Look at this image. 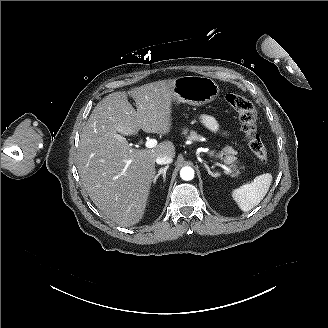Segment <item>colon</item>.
I'll list each match as a JSON object with an SVG mask.
<instances>
[{"label":"colon","instance_id":"5ec220e1","mask_svg":"<svg viewBox=\"0 0 328 328\" xmlns=\"http://www.w3.org/2000/svg\"><path fill=\"white\" fill-rule=\"evenodd\" d=\"M226 102L237 112L241 131L245 135L252 154L261 162L268 160V151L257 134V113L253 103L238 94L229 93L225 97Z\"/></svg>","mask_w":328,"mask_h":328}]
</instances>
